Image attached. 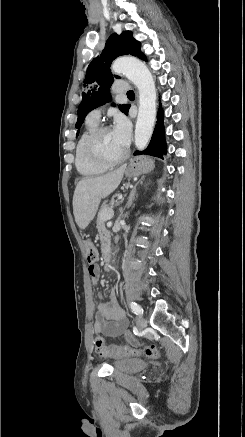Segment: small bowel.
Here are the masks:
<instances>
[{"instance_id":"c3829d8e","label":"small bowel","mask_w":245,"mask_h":437,"mask_svg":"<svg viewBox=\"0 0 245 437\" xmlns=\"http://www.w3.org/2000/svg\"><path fill=\"white\" fill-rule=\"evenodd\" d=\"M94 285H97L100 280L99 268L95 266L93 272H89ZM94 331L108 337H117L125 334L127 339L136 344L135 338L128 333V322L122 311V308L114 294L111 292L109 301H100L97 305Z\"/></svg>"}]
</instances>
